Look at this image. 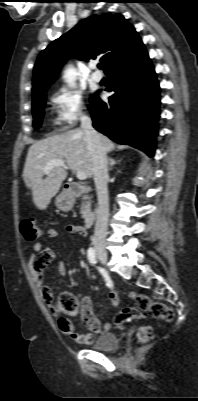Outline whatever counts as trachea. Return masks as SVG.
<instances>
[{
  "instance_id": "obj_1",
  "label": "trachea",
  "mask_w": 198,
  "mask_h": 401,
  "mask_svg": "<svg viewBox=\"0 0 198 401\" xmlns=\"http://www.w3.org/2000/svg\"><path fill=\"white\" fill-rule=\"evenodd\" d=\"M98 68L99 69H103V65L102 64H98Z\"/></svg>"
}]
</instances>
